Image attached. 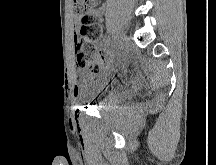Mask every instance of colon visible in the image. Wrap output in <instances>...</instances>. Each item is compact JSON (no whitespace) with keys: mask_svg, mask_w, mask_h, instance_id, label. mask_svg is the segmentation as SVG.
Here are the masks:
<instances>
[{"mask_svg":"<svg viewBox=\"0 0 216 165\" xmlns=\"http://www.w3.org/2000/svg\"><path fill=\"white\" fill-rule=\"evenodd\" d=\"M103 0H74L80 15V26L75 33L76 66L81 71L99 73L108 61L105 53L98 52L95 43L100 38L101 29L94 11Z\"/></svg>","mask_w":216,"mask_h":165,"instance_id":"obj_1","label":"colon"}]
</instances>
